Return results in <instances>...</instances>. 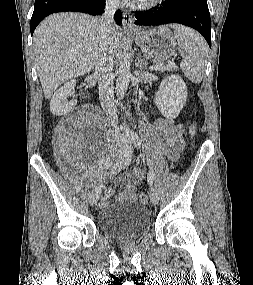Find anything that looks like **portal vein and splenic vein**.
<instances>
[{
  "label": "portal vein and splenic vein",
  "instance_id": "obj_1",
  "mask_svg": "<svg viewBox=\"0 0 253 285\" xmlns=\"http://www.w3.org/2000/svg\"><path fill=\"white\" fill-rule=\"evenodd\" d=\"M173 65H174V62L172 61V62L168 63L166 66H163V65H151L149 67V69H151V70H163V69H169Z\"/></svg>",
  "mask_w": 253,
  "mask_h": 285
}]
</instances>
